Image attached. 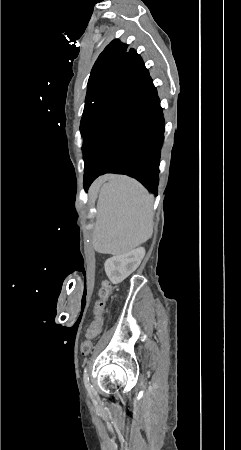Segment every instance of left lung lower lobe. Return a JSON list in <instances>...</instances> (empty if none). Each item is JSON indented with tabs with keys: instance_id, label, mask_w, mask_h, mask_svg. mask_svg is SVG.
<instances>
[{
	"instance_id": "left-lung-lower-lobe-1",
	"label": "left lung lower lobe",
	"mask_w": 241,
	"mask_h": 450,
	"mask_svg": "<svg viewBox=\"0 0 241 450\" xmlns=\"http://www.w3.org/2000/svg\"><path fill=\"white\" fill-rule=\"evenodd\" d=\"M121 91L83 145L85 190L105 173L127 174L157 195L164 117L156 87L134 49Z\"/></svg>"
}]
</instances>
